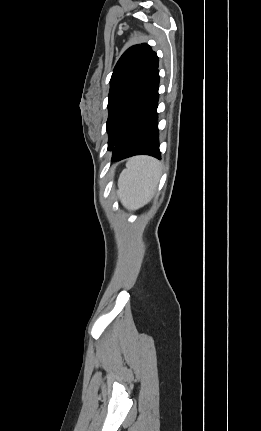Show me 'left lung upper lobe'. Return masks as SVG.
<instances>
[{
  "mask_svg": "<svg viewBox=\"0 0 261 431\" xmlns=\"http://www.w3.org/2000/svg\"><path fill=\"white\" fill-rule=\"evenodd\" d=\"M159 59L148 44L134 45L118 60L108 95V149L112 150L122 118L138 91L158 68Z\"/></svg>",
  "mask_w": 261,
  "mask_h": 431,
  "instance_id": "1",
  "label": "left lung upper lobe"
}]
</instances>
